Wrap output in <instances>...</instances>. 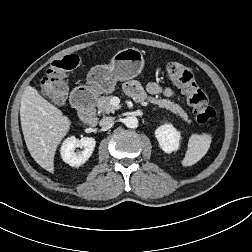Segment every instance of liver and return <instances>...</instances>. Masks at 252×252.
Segmentation results:
<instances>
[{"instance_id":"1","label":"liver","mask_w":252,"mask_h":252,"mask_svg":"<svg viewBox=\"0 0 252 252\" xmlns=\"http://www.w3.org/2000/svg\"><path fill=\"white\" fill-rule=\"evenodd\" d=\"M20 120L32 158L42 168L54 173L55 152L70 129V119L34 87L28 86L21 99Z\"/></svg>"}]
</instances>
